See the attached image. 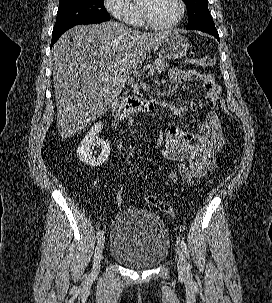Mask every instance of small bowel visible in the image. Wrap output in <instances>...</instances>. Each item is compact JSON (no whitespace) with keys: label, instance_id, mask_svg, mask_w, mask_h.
Segmentation results:
<instances>
[{"label":"small bowel","instance_id":"c3829d8e","mask_svg":"<svg viewBox=\"0 0 272 303\" xmlns=\"http://www.w3.org/2000/svg\"><path fill=\"white\" fill-rule=\"evenodd\" d=\"M169 78L173 85L196 81L204 89L203 103L208 111L203 117H196V130L190 131L180 125L168 127L160 149L164 158L175 162L170 178L193 185L216 168V155L225 144L221 120L215 110L220 87L210 74L194 70L171 69ZM189 109L196 114L197 103L192 102Z\"/></svg>","mask_w":272,"mask_h":303}]
</instances>
